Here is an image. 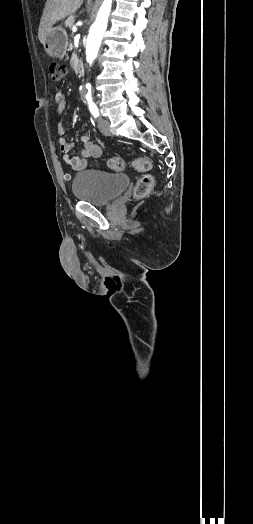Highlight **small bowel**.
Masks as SVG:
<instances>
[{
  "instance_id": "1",
  "label": "small bowel",
  "mask_w": 253,
  "mask_h": 524,
  "mask_svg": "<svg viewBox=\"0 0 253 524\" xmlns=\"http://www.w3.org/2000/svg\"><path fill=\"white\" fill-rule=\"evenodd\" d=\"M55 99L57 103V112L58 114H61L67 106L66 98L63 93L57 92ZM57 133L59 135V146L63 160L75 171H81L85 169L90 158H98L102 154L101 148L91 142L87 135H81L80 142L82 143L83 147L80 151V155L70 157V152L74 148V145L64 137L65 127L62 121H59L58 123Z\"/></svg>"
}]
</instances>
